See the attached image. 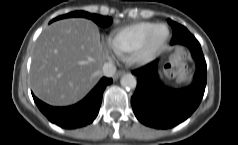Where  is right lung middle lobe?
<instances>
[{
	"label": "right lung middle lobe",
	"instance_id": "obj_1",
	"mask_svg": "<svg viewBox=\"0 0 238 145\" xmlns=\"http://www.w3.org/2000/svg\"><path fill=\"white\" fill-rule=\"evenodd\" d=\"M68 17H85L88 19H92L95 23H97L101 27H107L112 23V18L108 16H101L97 14H90L85 11H74L65 15L58 16L54 18L51 22L63 19V18H68Z\"/></svg>",
	"mask_w": 238,
	"mask_h": 145
}]
</instances>
